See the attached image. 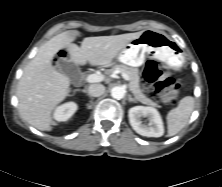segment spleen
<instances>
[{
	"label": "spleen",
	"instance_id": "3e777b00",
	"mask_svg": "<svg viewBox=\"0 0 222 187\" xmlns=\"http://www.w3.org/2000/svg\"><path fill=\"white\" fill-rule=\"evenodd\" d=\"M194 103L193 97L186 96L180 100L176 108L169 111L166 117L169 137L176 135L185 127L194 109Z\"/></svg>",
	"mask_w": 222,
	"mask_h": 187
}]
</instances>
